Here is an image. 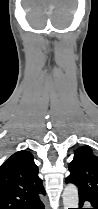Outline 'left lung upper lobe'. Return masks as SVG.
Instances as JSON below:
<instances>
[{
	"label": "left lung upper lobe",
	"mask_w": 98,
	"mask_h": 209,
	"mask_svg": "<svg viewBox=\"0 0 98 209\" xmlns=\"http://www.w3.org/2000/svg\"><path fill=\"white\" fill-rule=\"evenodd\" d=\"M69 171L66 183H73L78 187L79 197L98 204V156L93 154L92 149L78 148L69 164Z\"/></svg>",
	"instance_id": "5c2ea615"
}]
</instances>
